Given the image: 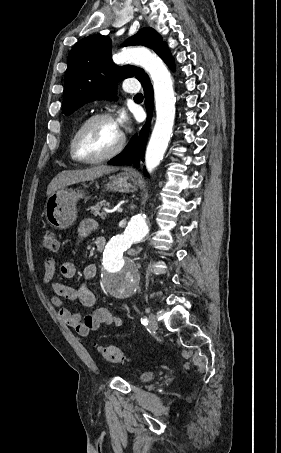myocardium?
Here are the masks:
<instances>
[{
    "label": "myocardium",
    "mask_w": 281,
    "mask_h": 453,
    "mask_svg": "<svg viewBox=\"0 0 281 453\" xmlns=\"http://www.w3.org/2000/svg\"><path fill=\"white\" fill-rule=\"evenodd\" d=\"M96 121L114 122L112 116L109 113H98V114H94V115L90 116L89 118H87L86 120H84L81 123V125L78 127V129L75 132L74 146H73V157L81 163L94 164V163H100V162H104L106 160L112 159L113 157L117 156L121 152V150L123 149V147L125 145L126 136L123 133V131H121L120 140L111 151H109L108 153H106L104 155H101V156H98V157H95L92 159L84 158L80 153V148H79L80 141H81V138H82L85 130L87 129V127L91 123L96 122Z\"/></svg>",
    "instance_id": "obj_1"
}]
</instances>
